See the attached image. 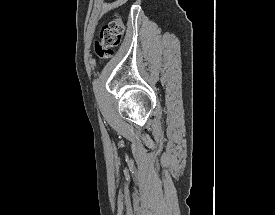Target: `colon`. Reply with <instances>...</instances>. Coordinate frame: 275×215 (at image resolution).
Wrapping results in <instances>:
<instances>
[{
	"label": "colon",
	"instance_id": "1",
	"mask_svg": "<svg viewBox=\"0 0 275 215\" xmlns=\"http://www.w3.org/2000/svg\"><path fill=\"white\" fill-rule=\"evenodd\" d=\"M123 31V23L119 18L104 24L100 30L99 39L94 44L96 56L109 59L113 54V49L120 44Z\"/></svg>",
	"mask_w": 275,
	"mask_h": 215
}]
</instances>
